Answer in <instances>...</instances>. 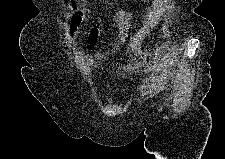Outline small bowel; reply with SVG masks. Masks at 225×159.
<instances>
[{"label": "small bowel", "instance_id": "small-bowel-1", "mask_svg": "<svg viewBox=\"0 0 225 159\" xmlns=\"http://www.w3.org/2000/svg\"><path fill=\"white\" fill-rule=\"evenodd\" d=\"M157 7L161 6V3L158 2L156 4ZM81 15L82 12L78 10H74L69 18V22L67 25V34L65 39L62 41V47L63 48H68L70 44L72 43L74 36L80 26L81 23ZM115 19L117 20L119 27H120V32L114 42V44L111 46V48L107 51L103 52H96L94 54V57L97 60H106L112 57L120 48L121 44L130 37L131 34V27H132V22H131V14L124 10V9H117L115 11ZM100 36V23L96 22L95 26L90 30L87 38V47L88 49H93L99 39ZM143 39L142 34H136L135 36L131 37L130 42L128 43V46L126 48L125 54H135L139 56H143L144 53L140 49V43ZM97 68L100 66L96 65Z\"/></svg>", "mask_w": 225, "mask_h": 159}]
</instances>
